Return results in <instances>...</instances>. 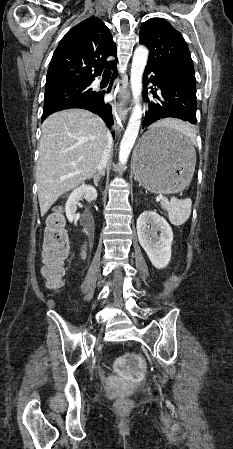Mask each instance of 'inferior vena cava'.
I'll return each mask as SVG.
<instances>
[{
	"mask_svg": "<svg viewBox=\"0 0 233 449\" xmlns=\"http://www.w3.org/2000/svg\"><path fill=\"white\" fill-rule=\"evenodd\" d=\"M112 143H113V139L110 133L107 134V143H106V147L103 150L102 153V157H101V161L99 164V170L101 171L102 168H104L108 162V158H109V153H110V149L112 147Z\"/></svg>",
	"mask_w": 233,
	"mask_h": 449,
	"instance_id": "inferior-vena-cava-1",
	"label": "inferior vena cava"
}]
</instances>
